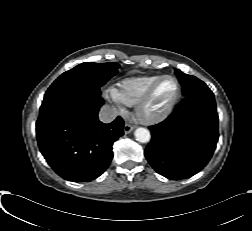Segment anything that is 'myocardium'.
Listing matches in <instances>:
<instances>
[{
  "mask_svg": "<svg viewBox=\"0 0 252 231\" xmlns=\"http://www.w3.org/2000/svg\"><path fill=\"white\" fill-rule=\"evenodd\" d=\"M164 79H172L176 83V93L171 102L167 105L165 109L161 112L151 114L147 112V107L158 88L159 84ZM181 97V84L179 80L172 75H162L160 76L145 92V94L141 97V99L137 102L135 111L138 119L144 124H157L164 121L176 108Z\"/></svg>",
  "mask_w": 252,
  "mask_h": 231,
  "instance_id": "obj_1",
  "label": "myocardium"
}]
</instances>
